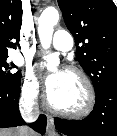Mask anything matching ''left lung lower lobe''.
<instances>
[{
    "label": "left lung lower lobe",
    "instance_id": "0a47b994",
    "mask_svg": "<svg viewBox=\"0 0 117 136\" xmlns=\"http://www.w3.org/2000/svg\"><path fill=\"white\" fill-rule=\"evenodd\" d=\"M55 126L68 136H117V81L96 93L94 109L85 119L55 118Z\"/></svg>",
    "mask_w": 117,
    "mask_h": 136
}]
</instances>
